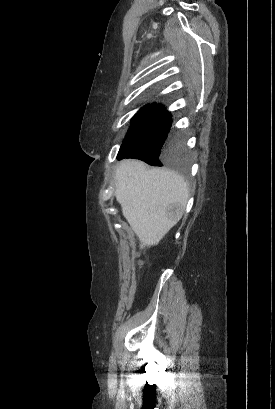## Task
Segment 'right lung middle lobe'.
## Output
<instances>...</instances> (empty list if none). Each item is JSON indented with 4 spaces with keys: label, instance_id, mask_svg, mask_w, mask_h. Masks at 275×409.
Masks as SVG:
<instances>
[{
    "label": "right lung middle lobe",
    "instance_id": "right-lung-middle-lobe-1",
    "mask_svg": "<svg viewBox=\"0 0 275 409\" xmlns=\"http://www.w3.org/2000/svg\"><path fill=\"white\" fill-rule=\"evenodd\" d=\"M131 122L117 159H140L154 166V171H163V166L169 167L175 178H185L188 181L191 154L185 148L184 135L171 131L172 116L164 106L146 105Z\"/></svg>",
    "mask_w": 275,
    "mask_h": 409
}]
</instances>
